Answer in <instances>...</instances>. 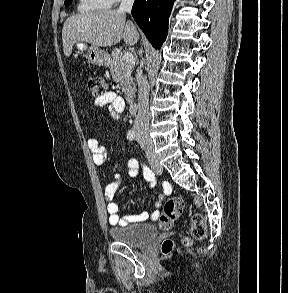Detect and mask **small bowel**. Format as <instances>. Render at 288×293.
I'll list each match as a JSON object with an SVG mask.
<instances>
[{
	"label": "small bowel",
	"mask_w": 288,
	"mask_h": 293,
	"mask_svg": "<svg viewBox=\"0 0 288 293\" xmlns=\"http://www.w3.org/2000/svg\"><path fill=\"white\" fill-rule=\"evenodd\" d=\"M94 105L100 108H106L110 115L113 118H118L123 110H124V101L113 91L106 92L103 96L96 98L94 100ZM88 147L91 151L92 160L95 165H102L107 156H108V148L106 145L101 144L96 138H90L88 140ZM142 169L144 178L150 183L151 187L155 186L154 175L151 170L141 163L139 160L132 158L128 161V170L130 176H135L139 170ZM119 179L120 174L115 175V181L110 182L106 185L104 190V197L107 203V213H108V222L112 226L120 225L127 226L131 223L142 222L149 218V214L147 212H142L140 214H131L123 217L119 216V206L116 202L113 201L115 194L119 188ZM166 189V187H165ZM162 197L156 202V206L159 207L161 205ZM159 217L158 210L154 211L150 218L152 220H156Z\"/></svg>",
	"instance_id": "1"
}]
</instances>
